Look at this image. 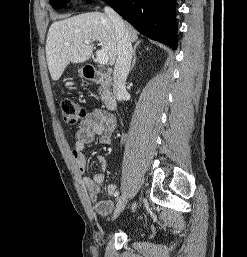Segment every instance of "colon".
Returning <instances> with one entry per match:
<instances>
[{
  "instance_id": "1",
  "label": "colon",
  "mask_w": 247,
  "mask_h": 257,
  "mask_svg": "<svg viewBox=\"0 0 247 257\" xmlns=\"http://www.w3.org/2000/svg\"><path fill=\"white\" fill-rule=\"evenodd\" d=\"M60 107L63 115V120L66 124L74 126L80 124L87 116L86 109L70 98H62Z\"/></svg>"
}]
</instances>
